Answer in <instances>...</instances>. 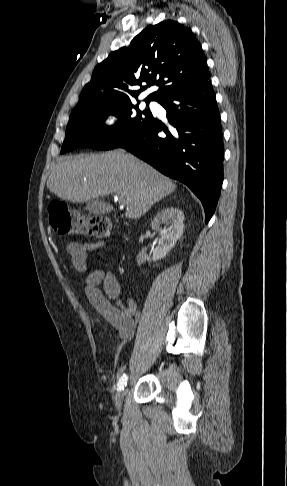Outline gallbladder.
I'll return each instance as SVG.
<instances>
[{"label": "gallbladder", "instance_id": "1", "mask_svg": "<svg viewBox=\"0 0 287 486\" xmlns=\"http://www.w3.org/2000/svg\"><path fill=\"white\" fill-rule=\"evenodd\" d=\"M85 210L93 215H104L110 212L111 207L105 201L92 199L86 202Z\"/></svg>", "mask_w": 287, "mask_h": 486}]
</instances>
